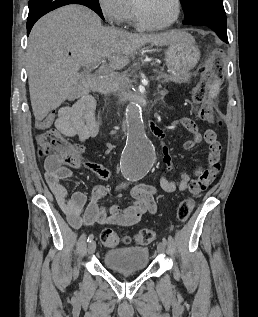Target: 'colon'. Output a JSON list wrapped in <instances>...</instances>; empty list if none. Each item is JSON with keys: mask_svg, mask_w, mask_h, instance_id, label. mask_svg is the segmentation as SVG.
Returning a JSON list of instances; mask_svg holds the SVG:
<instances>
[{"mask_svg": "<svg viewBox=\"0 0 258 317\" xmlns=\"http://www.w3.org/2000/svg\"><path fill=\"white\" fill-rule=\"evenodd\" d=\"M218 71L214 68L209 76H207L192 92L191 100L194 105L196 116L204 121L216 122L222 125L219 117H215L212 108L207 104L209 98V87L211 83L217 79ZM38 153L40 156H56L65 164L70 166H79L83 161V148L80 145L69 142L64 136L55 129H48L38 136ZM195 207L192 198L184 199L178 206L177 217L180 221H186ZM101 241L104 246L114 248L122 241L129 244L132 239L130 237L120 238V236L112 229L106 228L101 232ZM156 237L152 229H141L133 238V241L139 245H147Z\"/></svg>", "mask_w": 258, "mask_h": 317, "instance_id": "5ec220e1", "label": "colon"}]
</instances>
